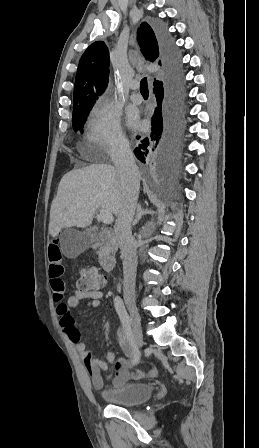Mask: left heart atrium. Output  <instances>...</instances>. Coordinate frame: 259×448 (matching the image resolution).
Returning <instances> with one entry per match:
<instances>
[{
  "mask_svg": "<svg viewBox=\"0 0 259 448\" xmlns=\"http://www.w3.org/2000/svg\"><path fill=\"white\" fill-rule=\"evenodd\" d=\"M127 121L130 125L135 126L137 124V116L133 113L128 115Z\"/></svg>",
  "mask_w": 259,
  "mask_h": 448,
  "instance_id": "left-heart-atrium-1",
  "label": "left heart atrium"
}]
</instances>
